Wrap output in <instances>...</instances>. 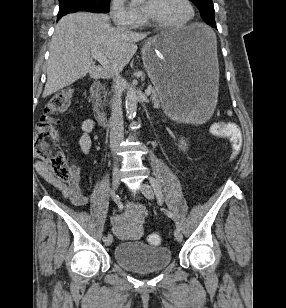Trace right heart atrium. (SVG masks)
<instances>
[{"instance_id": "1", "label": "right heart atrium", "mask_w": 286, "mask_h": 308, "mask_svg": "<svg viewBox=\"0 0 286 308\" xmlns=\"http://www.w3.org/2000/svg\"><path fill=\"white\" fill-rule=\"evenodd\" d=\"M111 16L116 26L122 28H136L143 23V18L126 5L125 0H112Z\"/></svg>"}]
</instances>
